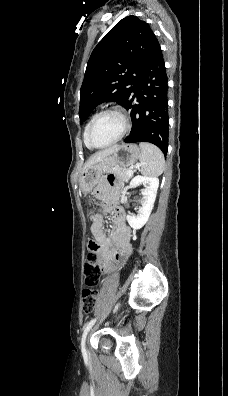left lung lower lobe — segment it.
<instances>
[{
    "label": "left lung lower lobe",
    "mask_w": 228,
    "mask_h": 396,
    "mask_svg": "<svg viewBox=\"0 0 228 396\" xmlns=\"http://www.w3.org/2000/svg\"><path fill=\"white\" fill-rule=\"evenodd\" d=\"M168 79L156 39L124 106L131 110L132 129L125 143L150 142L164 155L168 147ZM137 102V103H136Z\"/></svg>",
    "instance_id": "1"
}]
</instances>
